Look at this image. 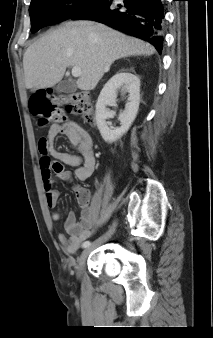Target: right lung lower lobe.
<instances>
[{
  "label": "right lung lower lobe",
  "mask_w": 213,
  "mask_h": 338,
  "mask_svg": "<svg viewBox=\"0 0 213 338\" xmlns=\"http://www.w3.org/2000/svg\"><path fill=\"white\" fill-rule=\"evenodd\" d=\"M164 0H95L71 19L94 20L163 47Z\"/></svg>",
  "instance_id": "98d812e1"
}]
</instances>
